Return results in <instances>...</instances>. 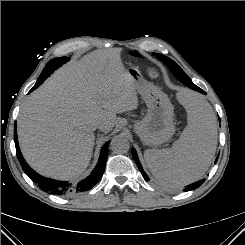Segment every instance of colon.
Here are the masks:
<instances>
[{"mask_svg": "<svg viewBox=\"0 0 245 245\" xmlns=\"http://www.w3.org/2000/svg\"><path fill=\"white\" fill-rule=\"evenodd\" d=\"M151 73L154 74V75L156 74L155 71H153V70L151 71Z\"/></svg>", "mask_w": 245, "mask_h": 245, "instance_id": "1", "label": "colon"}]
</instances>
